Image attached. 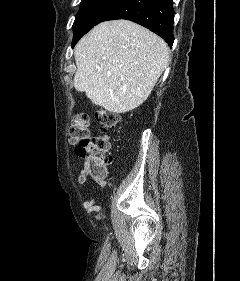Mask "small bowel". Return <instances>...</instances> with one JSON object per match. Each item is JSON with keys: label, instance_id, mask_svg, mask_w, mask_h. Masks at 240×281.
Listing matches in <instances>:
<instances>
[{"label": "small bowel", "instance_id": "c3829d8e", "mask_svg": "<svg viewBox=\"0 0 240 281\" xmlns=\"http://www.w3.org/2000/svg\"><path fill=\"white\" fill-rule=\"evenodd\" d=\"M86 165H87V162L85 161L84 167L78 175V183L79 184H85L87 181L92 180L102 188L112 187L111 182H109L106 179V173L104 175H101V176H96V175L90 174L86 170ZM83 207L90 212H101V207L96 205L93 200L84 202Z\"/></svg>", "mask_w": 240, "mask_h": 281}]
</instances>
